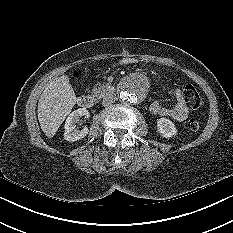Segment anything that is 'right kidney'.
Instances as JSON below:
<instances>
[{
	"label": "right kidney",
	"instance_id": "obj_1",
	"mask_svg": "<svg viewBox=\"0 0 233 233\" xmlns=\"http://www.w3.org/2000/svg\"><path fill=\"white\" fill-rule=\"evenodd\" d=\"M85 116L86 118H89V112L85 108H79L77 110H74L66 119L65 125H64V139L70 142L77 141L79 139L84 138L88 132L89 129L85 126L83 129L79 130L78 123L80 120V117Z\"/></svg>",
	"mask_w": 233,
	"mask_h": 233
}]
</instances>
